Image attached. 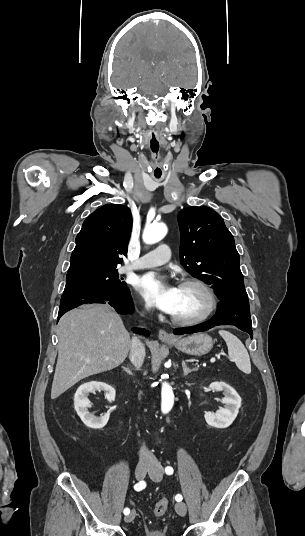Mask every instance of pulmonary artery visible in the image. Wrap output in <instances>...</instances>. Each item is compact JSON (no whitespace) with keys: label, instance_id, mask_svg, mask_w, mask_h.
Masks as SVG:
<instances>
[{"label":"pulmonary artery","instance_id":"pulmonary-artery-1","mask_svg":"<svg viewBox=\"0 0 305 536\" xmlns=\"http://www.w3.org/2000/svg\"><path fill=\"white\" fill-rule=\"evenodd\" d=\"M170 247L168 244H159L151 251L145 253L136 263L129 265L128 270L146 269L160 266L170 260L168 256Z\"/></svg>","mask_w":305,"mask_h":536}]
</instances>
